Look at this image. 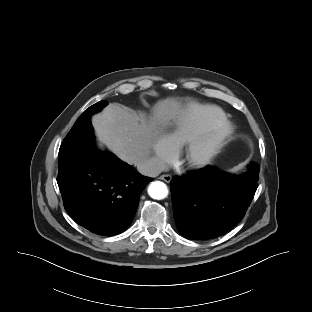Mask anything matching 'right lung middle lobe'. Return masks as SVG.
Masks as SVG:
<instances>
[{"label":"right lung middle lobe","mask_w":312,"mask_h":312,"mask_svg":"<svg viewBox=\"0 0 312 312\" xmlns=\"http://www.w3.org/2000/svg\"><path fill=\"white\" fill-rule=\"evenodd\" d=\"M108 104L107 101H100L86 109L77 119L70 132L67 134L59 149V171H64L75 162L82 151L93 139L91 115L99 112Z\"/></svg>","instance_id":"dd1d6c3e"}]
</instances>
